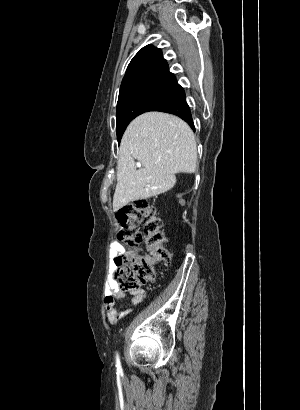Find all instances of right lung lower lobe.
<instances>
[{"mask_svg":"<svg viewBox=\"0 0 300 410\" xmlns=\"http://www.w3.org/2000/svg\"><path fill=\"white\" fill-rule=\"evenodd\" d=\"M157 111H162V112H167L171 114H175L179 117H181L183 120H185L191 128L194 130V124L190 112V108L185 101V93H183L177 100H175L173 103L160 108Z\"/></svg>","mask_w":300,"mask_h":410,"instance_id":"obj_1","label":"right lung lower lobe"}]
</instances>
